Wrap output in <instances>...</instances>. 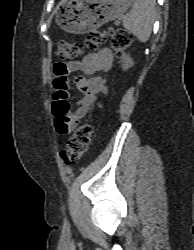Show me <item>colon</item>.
Masks as SVG:
<instances>
[{
  "label": "colon",
  "mask_w": 194,
  "mask_h": 250,
  "mask_svg": "<svg viewBox=\"0 0 194 250\" xmlns=\"http://www.w3.org/2000/svg\"><path fill=\"white\" fill-rule=\"evenodd\" d=\"M110 41L112 47L121 54L131 43L130 34L124 29L100 30L95 29L87 33L84 44L72 41L58 43L57 54L62 59L76 58L82 54L85 48L96 49L106 41ZM54 112L62 110L59 102L65 98L64 94H55ZM93 127L89 122L82 123L67 141L65 149L60 153L66 165L75 163L84 154L90 144Z\"/></svg>",
  "instance_id": "5ec220e1"
}]
</instances>
